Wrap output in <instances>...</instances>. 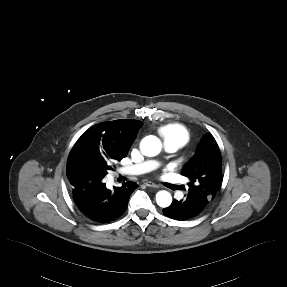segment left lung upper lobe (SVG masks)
Listing matches in <instances>:
<instances>
[{"label": "left lung upper lobe", "instance_id": "obj_1", "mask_svg": "<svg viewBox=\"0 0 287 287\" xmlns=\"http://www.w3.org/2000/svg\"><path fill=\"white\" fill-rule=\"evenodd\" d=\"M181 174L188 177V196L207 206L222 180L220 150L211 133L203 136L195 156L184 165Z\"/></svg>", "mask_w": 287, "mask_h": 287}]
</instances>
